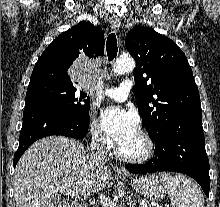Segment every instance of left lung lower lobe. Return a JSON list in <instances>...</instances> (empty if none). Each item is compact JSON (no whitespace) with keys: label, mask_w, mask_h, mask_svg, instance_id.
I'll return each mask as SVG.
<instances>
[{"label":"left lung lower lobe","mask_w":220,"mask_h":207,"mask_svg":"<svg viewBox=\"0 0 220 207\" xmlns=\"http://www.w3.org/2000/svg\"><path fill=\"white\" fill-rule=\"evenodd\" d=\"M155 157L145 164L126 168L135 174L172 171L194 178L209 196V160L205 150L201 111L187 112L172 119L157 137Z\"/></svg>","instance_id":"left-lung-lower-lobe-1"}]
</instances>
